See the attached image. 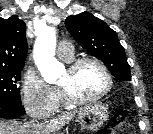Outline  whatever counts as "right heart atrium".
Returning a JSON list of instances; mask_svg holds the SVG:
<instances>
[{
    "instance_id": "obj_1",
    "label": "right heart atrium",
    "mask_w": 153,
    "mask_h": 134,
    "mask_svg": "<svg viewBox=\"0 0 153 134\" xmlns=\"http://www.w3.org/2000/svg\"><path fill=\"white\" fill-rule=\"evenodd\" d=\"M22 101L31 116L46 118L57 108V90L46 83L36 70L28 69L22 80Z\"/></svg>"
}]
</instances>
